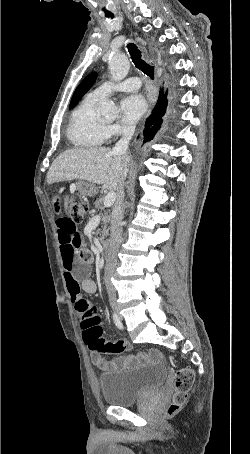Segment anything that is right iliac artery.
Instances as JSON below:
<instances>
[{"instance_id":"82829eb1","label":"right iliac artery","mask_w":250,"mask_h":454,"mask_svg":"<svg viewBox=\"0 0 250 454\" xmlns=\"http://www.w3.org/2000/svg\"><path fill=\"white\" fill-rule=\"evenodd\" d=\"M113 320H114V323L115 325L119 328V329H122L123 328V325L121 323V320L119 319L118 315L116 313H113Z\"/></svg>"}]
</instances>
